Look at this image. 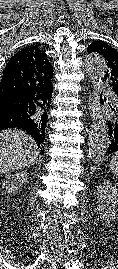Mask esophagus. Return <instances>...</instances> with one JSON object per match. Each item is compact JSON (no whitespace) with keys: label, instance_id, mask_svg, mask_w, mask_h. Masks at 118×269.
Returning <instances> with one entry per match:
<instances>
[{"label":"esophagus","instance_id":"1","mask_svg":"<svg viewBox=\"0 0 118 269\" xmlns=\"http://www.w3.org/2000/svg\"><path fill=\"white\" fill-rule=\"evenodd\" d=\"M91 97H89V100H88V105H89V108L91 107Z\"/></svg>","mask_w":118,"mask_h":269}]
</instances>
